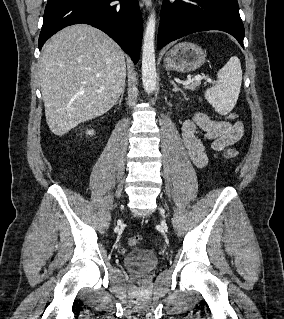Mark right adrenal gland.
Instances as JSON below:
<instances>
[{
  "label": "right adrenal gland",
  "instance_id": "2a0ac1e0",
  "mask_svg": "<svg viewBox=\"0 0 284 319\" xmlns=\"http://www.w3.org/2000/svg\"><path fill=\"white\" fill-rule=\"evenodd\" d=\"M124 90H125V87L123 88L120 99L118 100V103H117V104H119V106L121 105V102L123 100Z\"/></svg>",
  "mask_w": 284,
  "mask_h": 319
}]
</instances>
